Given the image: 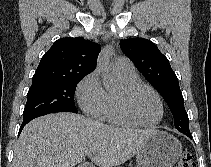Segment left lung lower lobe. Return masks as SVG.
<instances>
[{
  "label": "left lung lower lobe",
  "mask_w": 211,
  "mask_h": 167,
  "mask_svg": "<svg viewBox=\"0 0 211 167\" xmlns=\"http://www.w3.org/2000/svg\"><path fill=\"white\" fill-rule=\"evenodd\" d=\"M181 133H183V134H185L186 136H188V137L192 138V136H191L190 132H181Z\"/></svg>",
  "instance_id": "obj_1"
}]
</instances>
